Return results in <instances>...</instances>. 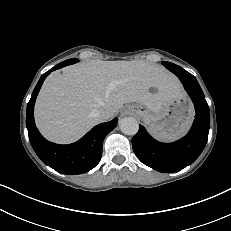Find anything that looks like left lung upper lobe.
<instances>
[{"instance_id":"left-lung-upper-lobe-1","label":"left lung upper lobe","mask_w":231,"mask_h":231,"mask_svg":"<svg viewBox=\"0 0 231 231\" xmlns=\"http://www.w3.org/2000/svg\"><path fill=\"white\" fill-rule=\"evenodd\" d=\"M163 63V65L165 66V67H167V68H169V67H171V68H179V66H177V65H175V64H173V63H170V62H162Z\"/></svg>"}]
</instances>
